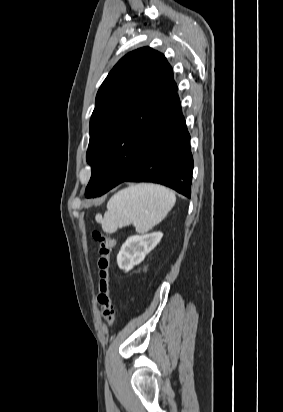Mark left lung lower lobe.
I'll list each match as a JSON object with an SVG mask.
<instances>
[{
	"mask_svg": "<svg viewBox=\"0 0 283 412\" xmlns=\"http://www.w3.org/2000/svg\"><path fill=\"white\" fill-rule=\"evenodd\" d=\"M108 154H99L91 176L100 184L98 196L125 181L159 183L191 196L193 157L179 98L157 125L137 162L131 156L123 157V153Z\"/></svg>",
	"mask_w": 283,
	"mask_h": 412,
	"instance_id": "0a47b994",
	"label": "left lung lower lobe"
}]
</instances>
